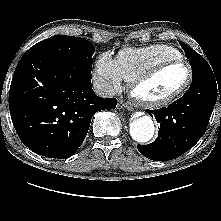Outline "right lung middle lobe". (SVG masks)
Wrapping results in <instances>:
<instances>
[{
	"mask_svg": "<svg viewBox=\"0 0 221 221\" xmlns=\"http://www.w3.org/2000/svg\"><path fill=\"white\" fill-rule=\"evenodd\" d=\"M31 51H38L85 72L91 73L94 46L80 37L55 35L35 44Z\"/></svg>",
	"mask_w": 221,
	"mask_h": 221,
	"instance_id": "obj_1",
	"label": "right lung middle lobe"
}]
</instances>
